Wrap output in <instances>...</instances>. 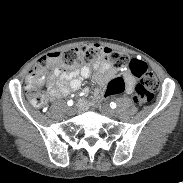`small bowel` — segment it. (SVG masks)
I'll return each instance as SVG.
<instances>
[{
	"mask_svg": "<svg viewBox=\"0 0 183 183\" xmlns=\"http://www.w3.org/2000/svg\"><path fill=\"white\" fill-rule=\"evenodd\" d=\"M55 76L59 77L58 82L51 83L53 87L52 96L59 98L66 96L72 90H77L82 86L83 80L93 75L94 80L101 86H106L110 81L116 78V71L104 60H98L93 63L92 67L83 66L67 71L60 67L53 70ZM124 80L126 82V93L131 94L135 88V77L131 70L124 73ZM87 89H84L82 94L85 95Z\"/></svg>",
	"mask_w": 183,
	"mask_h": 183,
	"instance_id": "small-bowel-1",
	"label": "small bowel"
}]
</instances>
